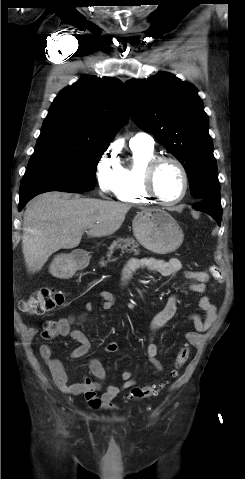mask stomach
<instances>
[{
    "instance_id": "1",
    "label": "stomach",
    "mask_w": 245,
    "mask_h": 479,
    "mask_svg": "<svg viewBox=\"0 0 245 479\" xmlns=\"http://www.w3.org/2000/svg\"><path fill=\"white\" fill-rule=\"evenodd\" d=\"M136 239L146 249L166 254L175 251L183 242L184 234L176 220L166 211L144 209L133 220ZM75 262L70 255L59 254L50 263L49 271L57 278L67 279L75 273Z\"/></svg>"
}]
</instances>
